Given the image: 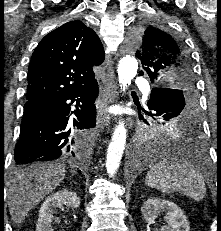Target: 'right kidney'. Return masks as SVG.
Wrapping results in <instances>:
<instances>
[{"instance_id": "1", "label": "right kidney", "mask_w": 221, "mask_h": 231, "mask_svg": "<svg viewBox=\"0 0 221 231\" xmlns=\"http://www.w3.org/2000/svg\"><path fill=\"white\" fill-rule=\"evenodd\" d=\"M62 205L77 209L80 206V198L75 192L66 189L48 196L39 210L36 231H53V214L55 213V209Z\"/></svg>"}]
</instances>
